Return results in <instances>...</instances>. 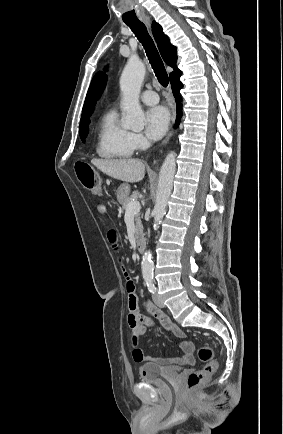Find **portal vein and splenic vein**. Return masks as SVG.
I'll use <instances>...</instances> for the list:
<instances>
[{"label": "portal vein and splenic vein", "instance_id": "1", "mask_svg": "<svg viewBox=\"0 0 283 434\" xmlns=\"http://www.w3.org/2000/svg\"><path fill=\"white\" fill-rule=\"evenodd\" d=\"M140 209H141V206H140V203L138 201L130 202L128 204V207L126 210V214H128V213L137 214L138 212H140Z\"/></svg>", "mask_w": 283, "mask_h": 434}]
</instances>
